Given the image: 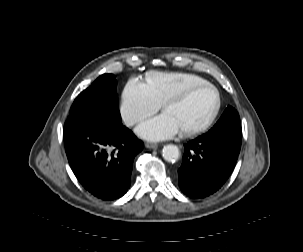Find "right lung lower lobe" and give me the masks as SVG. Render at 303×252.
<instances>
[{"instance_id":"right-lung-lower-lobe-1","label":"right lung lower lobe","mask_w":303,"mask_h":252,"mask_svg":"<svg viewBox=\"0 0 303 252\" xmlns=\"http://www.w3.org/2000/svg\"><path fill=\"white\" fill-rule=\"evenodd\" d=\"M64 144L79 182L103 200L120 198L128 191L134 157L144 146L120 119L104 113L69 117Z\"/></svg>"}]
</instances>
